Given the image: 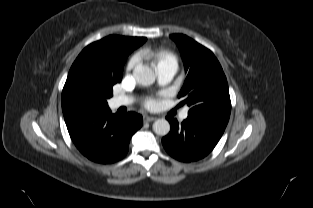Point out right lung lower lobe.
I'll list each match as a JSON object with an SVG mask.
<instances>
[{
	"mask_svg": "<svg viewBox=\"0 0 313 208\" xmlns=\"http://www.w3.org/2000/svg\"><path fill=\"white\" fill-rule=\"evenodd\" d=\"M70 137L78 150L98 163H113L128 152L132 135L141 128L142 116L129 112L117 116L107 106L75 100L62 102Z\"/></svg>",
	"mask_w": 313,
	"mask_h": 208,
	"instance_id": "1",
	"label": "right lung lower lobe"
}]
</instances>
